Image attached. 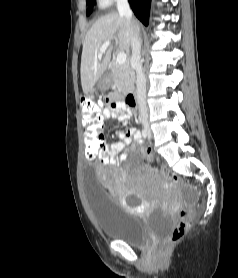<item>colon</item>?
<instances>
[{"mask_svg":"<svg viewBox=\"0 0 238 278\" xmlns=\"http://www.w3.org/2000/svg\"><path fill=\"white\" fill-rule=\"evenodd\" d=\"M80 125L85 127L84 137L82 141L84 159H97L101 155L103 146L105 145L103 138V118L102 102L93 95H85L80 101ZM146 157H150L151 153L148 150H143ZM161 174L169 185L178 188L182 191L181 196L185 197L188 187L184 186L183 178L178 177V174H173L168 168L162 167ZM177 221L172 230L167 234L166 242H178L188 231L192 225L191 210L185 205L180 204L176 211Z\"/></svg>","mask_w":238,"mask_h":278,"instance_id":"colon-1","label":"colon"}]
</instances>
